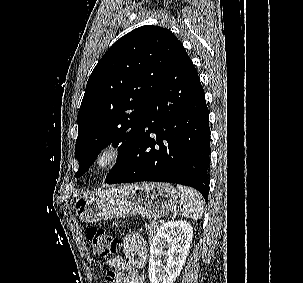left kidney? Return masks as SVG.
<instances>
[{"label":"left kidney","mask_w":303,"mask_h":283,"mask_svg":"<svg viewBox=\"0 0 303 283\" xmlns=\"http://www.w3.org/2000/svg\"><path fill=\"white\" fill-rule=\"evenodd\" d=\"M192 232L186 221L167 222L160 227L150 243V283H174L185 264Z\"/></svg>","instance_id":"5707ae66"}]
</instances>
